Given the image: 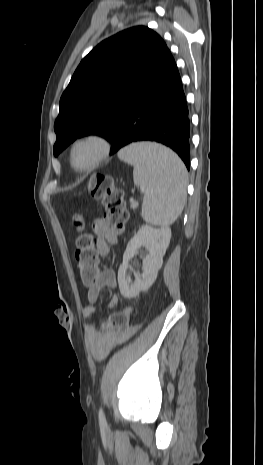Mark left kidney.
<instances>
[{"label": "left kidney", "mask_w": 263, "mask_h": 465, "mask_svg": "<svg viewBox=\"0 0 263 465\" xmlns=\"http://www.w3.org/2000/svg\"><path fill=\"white\" fill-rule=\"evenodd\" d=\"M171 230L143 225L129 241L123 255V263L118 270L120 293L125 298H134L141 291L148 290L157 278L163 264V256L169 246ZM145 247L149 253L143 258L142 274H138L134 282L127 275L129 261L137 255V250Z\"/></svg>", "instance_id": "5707ae66"}]
</instances>
